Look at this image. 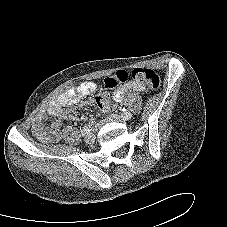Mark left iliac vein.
Wrapping results in <instances>:
<instances>
[{"label":"left iliac vein","instance_id":"obj_1","mask_svg":"<svg viewBox=\"0 0 227 227\" xmlns=\"http://www.w3.org/2000/svg\"><path fill=\"white\" fill-rule=\"evenodd\" d=\"M132 113H128L127 115H117V114H111L108 116L109 121H114V122H125L129 119H131Z\"/></svg>","mask_w":227,"mask_h":227}]
</instances>
